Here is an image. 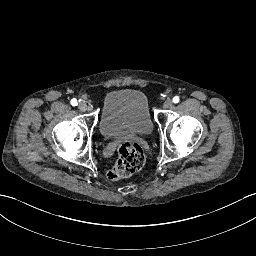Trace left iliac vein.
<instances>
[{
	"instance_id": "obj_1",
	"label": "left iliac vein",
	"mask_w": 256,
	"mask_h": 256,
	"mask_svg": "<svg viewBox=\"0 0 256 256\" xmlns=\"http://www.w3.org/2000/svg\"><path fill=\"white\" fill-rule=\"evenodd\" d=\"M173 106V102L170 99H167L163 102L164 109H170Z\"/></svg>"
}]
</instances>
